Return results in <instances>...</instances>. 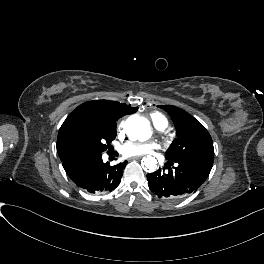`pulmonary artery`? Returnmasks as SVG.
I'll use <instances>...</instances> for the list:
<instances>
[{
  "label": "pulmonary artery",
  "instance_id": "pulmonary-artery-1",
  "mask_svg": "<svg viewBox=\"0 0 264 264\" xmlns=\"http://www.w3.org/2000/svg\"><path fill=\"white\" fill-rule=\"evenodd\" d=\"M158 128L163 129L166 126V122L159 121L156 122ZM155 145L152 143H143V144H133V143H128L122 146L124 152L126 153H138V154H147L151 153L152 150L154 149Z\"/></svg>",
  "mask_w": 264,
  "mask_h": 264
}]
</instances>
